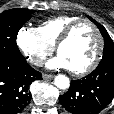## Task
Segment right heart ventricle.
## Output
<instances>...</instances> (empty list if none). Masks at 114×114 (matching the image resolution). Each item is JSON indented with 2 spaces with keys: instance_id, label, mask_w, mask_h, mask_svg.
<instances>
[{
  "instance_id": "obj_1",
  "label": "right heart ventricle",
  "mask_w": 114,
  "mask_h": 114,
  "mask_svg": "<svg viewBox=\"0 0 114 114\" xmlns=\"http://www.w3.org/2000/svg\"><path fill=\"white\" fill-rule=\"evenodd\" d=\"M79 18L74 15L56 16L40 23L36 30L47 43L54 46L65 28Z\"/></svg>"
}]
</instances>
